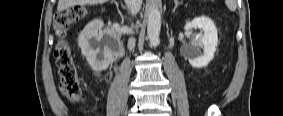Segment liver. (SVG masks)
I'll return each instance as SVG.
<instances>
[{
    "label": "liver",
    "mask_w": 283,
    "mask_h": 116,
    "mask_svg": "<svg viewBox=\"0 0 283 116\" xmlns=\"http://www.w3.org/2000/svg\"><path fill=\"white\" fill-rule=\"evenodd\" d=\"M107 0H59L57 10L58 12H62L69 7L81 4H94L99 2H106Z\"/></svg>",
    "instance_id": "1"
}]
</instances>
